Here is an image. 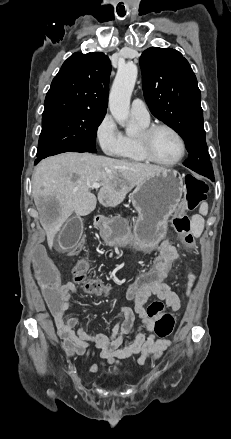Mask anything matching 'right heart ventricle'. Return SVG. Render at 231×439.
Wrapping results in <instances>:
<instances>
[{
  "label": "right heart ventricle",
  "mask_w": 231,
  "mask_h": 439,
  "mask_svg": "<svg viewBox=\"0 0 231 439\" xmlns=\"http://www.w3.org/2000/svg\"><path fill=\"white\" fill-rule=\"evenodd\" d=\"M135 122L137 123L139 129H142L149 125V121L144 122L135 119ZM118 156L123 160L134 162V163H144L147 161L138 148L136 135H130V134L123 135L122 148L118 153Z\"/></svg>",
  "instance_id": "right-heart-ventricle-1"
}]
</instances>
